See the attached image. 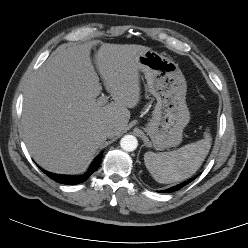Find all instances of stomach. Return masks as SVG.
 <instances>
[{"label":"stomach","mask_w":248,"mask_h":248,"mask_svg":"<svg viewBox=\"0 0 248 248\" xmlns=\"http://www.w3.org/2000/svg\"><path fill=\"white\" fill-rule=\"evenodd\" d=\"M138 63L150 93L157 100L145 132L157 149L176 147L190 121L185 77L178 64L153 50L143 53Z\"/></svg>","instance_id":"obj_1"}]
</instances>
